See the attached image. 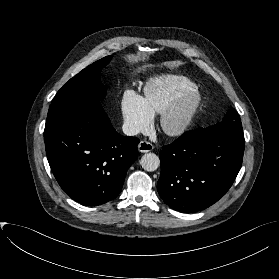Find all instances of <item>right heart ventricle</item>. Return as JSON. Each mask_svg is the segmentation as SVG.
<instances>
[{"instance_id": "right-heart-ventricle-1", "label": "right heart ventricle", "mask_w": 279, "mask_h": 279, "mask_svg": "<svg viewBox=\"0 0 279 279\" xmlns=\"http://www.w3.org/2000/svg\"><path fill=\"white\" fill-rule=\"evenodd\" d=\"M197 85L188 77L165 74L149 80L144 86V101L152 114L162 113L172 103Z\"/></svg>"}]
</instances>
